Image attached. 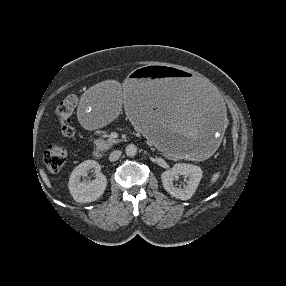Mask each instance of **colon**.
Returning a JSON list of instances; mask_svg holds the SVG:
<instances>
[{
  "instance_id": "5ec220e1",
  "label": "colon",
  "mask_w": 286,
  "mask_h": 286,
  "mask_svg": "<svg viewBox=\"0 0 286 286\" xmlns=\"http://www.w3.org/2000/svg\"><path fill=\"white\" fill-rule=\"evenodd\" d=\"M77 97L67 96L63 99L56 110L58 129L62 137L70 138L74 135V128L71 124V117L76 108ZM68 157L67 149L53 142L44 154V163L50 172H59L66 163Z\"/></svg>"
}]
</instances>
